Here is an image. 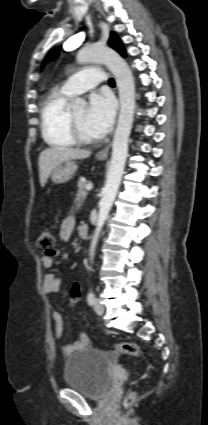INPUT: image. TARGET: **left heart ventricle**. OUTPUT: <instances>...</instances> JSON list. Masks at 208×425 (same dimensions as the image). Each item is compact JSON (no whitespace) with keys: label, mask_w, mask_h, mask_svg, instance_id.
<instances>
[{"label":"left heart ventricle","mask_w":208,"mask_h":425,"mask_svg":"<svg viewBox=\"0 0 208 425\" xmlns=\"http://www.w3.org/2000/svg\"><path fill=\"white\" fill-rule=\"evenodd\" d=\"M72 113H73L75 119L77 120V122H78V124H79V126H80V128H81V130L83 132V134L86 137H88V138H92V139L96 138L97 136L94 135L88 129V127L86 126V123H85L86 110L85 109H80V110L73 111Z\"/></svg>","instance_id":"obj_1"}]
</instances>
